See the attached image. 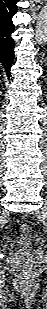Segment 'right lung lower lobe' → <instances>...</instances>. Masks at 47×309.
<instances>
[{"label":"right lung lower lobe","instance_id":"right-lung-lower-lobe-1","mask_svg":"<svg viewBox=\"0 0 47 309\" xmlns=\"http://www.w3.org/2000/svg\"><path fill=\"white\" fill-rule=\"evenodd\" d=\"M19 0H0V63L4 66L8 78L14 59V41L11 37L15 29L12 17L17 13Z\"/></svg>","mask_w":47,"mask_h":309}]
</instances>
